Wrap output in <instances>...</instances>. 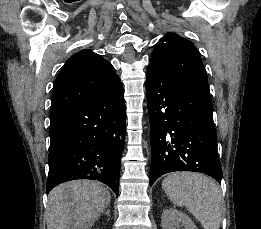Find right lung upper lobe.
I'll list each match as a JSON object with an SVG mask.
<instances>
[{"label":"right lung upper lobe","mask_w":261,"mask_h":229,"mask_svg":"<svg viewBox=\"0 0 261 229\" xmlns=\"http://www.w3.org/2000/svg\"><path fill=\"white\" fill-rule=\"evenodd\" d=\"M118 79L111 64L91 50H82L67 60L53 92L50 122L95 96Z\"/></svg>","instance_id":"right-lung-upper-lobe-1"}]
</instances>
